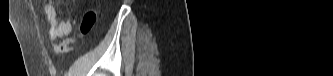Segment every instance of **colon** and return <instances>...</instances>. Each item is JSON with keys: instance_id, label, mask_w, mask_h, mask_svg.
I'll use <instances>...</instances> for the list:
<instances>
[{"instance_id": "5ec220e1", "label": "colon", "mask_w": 333, "mask_h": 76, "mask_svg": "<svg viewBox=\"0 0 333 76\" xmlns=\"http://www.w3.org/2000/svg\"><path fill=\"white\" fill-rule=\"evenodd\" d=\"M96 22V13L92 10L87 11L81 20L79 32L82 35L89 34ZM73 44V39L71 37L66 38L61 43H59L56 47V51L60 54L66 53L70 50L71 46Z\"/></svg>"}]
</instances>
